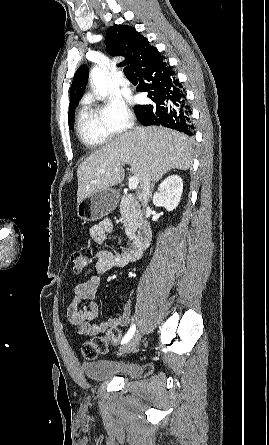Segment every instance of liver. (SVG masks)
Listing matches in <instances>:
<instances>
[{"label": "liver", "mask_w": 269, "mask_h": 445, "mask_svg": "<svg viewBox=\"0 0 269 445\" xmlns=\"http://www.w3.org/2000/svg\"><path fill=\"white\" fill-rule=\"evenodd\" d=\"M143 134L125 132L86 158L77 169V202L95 192L120 184L123 165L142 184L156 181L171 169L187 170L192 165V142L184 134L164 127L142 128Z\"/></svg>", "instance_id": "1"}]
</instances>
